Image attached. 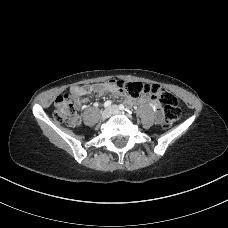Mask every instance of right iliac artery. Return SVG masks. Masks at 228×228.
<instances>
[{"label": "right iliac artery", "instance_id": "1", "mask_svg": "<svg viewBox=\"0 0 228 228\" xmlns=\"http://www.w3.org/2000/svg\"><path fill=\"white\" fill-rule=\"evenodd\" d=\"M111 104H112V101L108 100V101H106V102L104 103L103 106H104L105 108H107V107H110Z\"/></svg>", "mask_w": 228, "mask_h": 228}]
</instances>
